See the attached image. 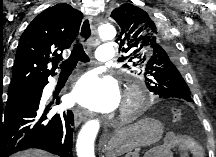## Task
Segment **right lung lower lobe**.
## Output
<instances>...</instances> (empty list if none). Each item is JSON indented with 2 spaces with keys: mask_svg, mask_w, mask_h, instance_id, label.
Masks as SVG:
<instances>
[{
  "mask_svg": "<svg viewBox=\"0 0 216 157\" xmlns=\"http://www.w3.org/2000/svg\"><path fill=\"white\" fill-rule=\"evenodd\" d=\"M47 83L23 93L0 109V157L27 148L73 157L74 115L71 110L48 114L51 105L41 102L42 90Z\"/></svg>",
  "mask_w": 216,
  "mask_h": 157,
  "instance_id": "98d812e1",
  "label": "right lung lower lobe"
}]
</instances>
